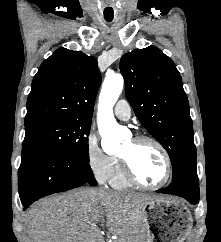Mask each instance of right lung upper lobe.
Listing matches in <instances>:
<instances>
[{
	"label": "right lung upper lobe",
	"mask_w": 221,
	"mask_h": 242,
	"mask_svg": "<svg viewBox=\"0 0 221 242\" xmlns=\"http://www.w3.org/2000/svg\"><path fill=\"white\" fill-rule=\"evenodd\" d=\"M100 82L94 57L57 49L41 64L33 79L25 126L56 119H92Z\"/></svg>",
	"instance_id": "cb5924a9"
}]
</instances>
